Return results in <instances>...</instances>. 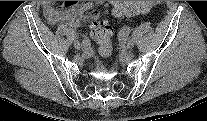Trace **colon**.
Segmentation results:
<instances>
[{
    "label": "colon",
    "mask_w": 207,
    "mask_h": 121,
    "mask_svg": "<svg viewBox=\"0 0 207 121\" xmlns=\"http://www.w3.org/2000/svg\"><path fill=\"white\" fill-rule=\"evenodd\" d=\"M158 4L156 1H127L117 2L112 7V13L116 17L133 16L148 12ZM92 39L98 45L102 56L107 57L112 53V28L104 19L94 20L90 31Z\"/></svg>",
    "instance_id": "obj_1"
}]
</instances>
